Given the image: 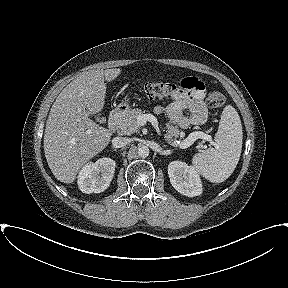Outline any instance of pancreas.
Masks as SVG:
<instances>
[{
	"label": "pancreas",
	"instance_id": "pancreas-1",
	"mask_svg": "<svg viewBox=\"0 0 288 288\" xmlns=\"http://www.w3.org/2000/svg\"><path fill=\"white\" fill-rule=\"evenodd\" d=\"M141 109L129 110L124 117L120 118L117 123V130L120 135H131L132 133H138L140 124L137 121V117L142 115ZM185 133L178 129L177 126L168 125L166 134L164 135L165 140L172 146H180L181 142L178 143V137H184Z\"/></svg>",
	"mask_w": 288,
	"mask_h": 288
}]
</instances>
